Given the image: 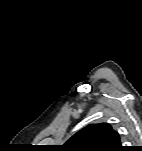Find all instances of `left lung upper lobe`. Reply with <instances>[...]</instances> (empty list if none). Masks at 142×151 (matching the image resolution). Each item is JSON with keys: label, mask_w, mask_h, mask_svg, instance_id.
<instances>
[{"label": "left lung upper lobe", "mask_w": 142, "mask_h": 151, "mask_svg": "<svg viewBox=\"0 0 142 151\" xmlns=\"http://www.w3.org/2000/svg\"><path fill=\"white\" fill-rule=\"evenodd\" d=\"M64 148L70 151H122L117 131L108 123L90 124L73 135Z\"/></svg>", "instance_id": "obj_1"}]
</instances>
